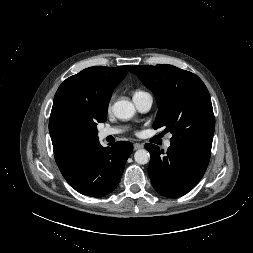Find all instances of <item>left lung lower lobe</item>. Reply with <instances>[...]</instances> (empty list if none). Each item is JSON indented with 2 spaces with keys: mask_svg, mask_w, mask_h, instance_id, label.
<instances>
[{
  "mask_svg": "<svg viewBox=\"0 0 253 253\" xmlns=\"http://www.w3.org/2000/svg\"><path fill=\"white\" fill-rule=\"evenodd\" d=\"M151 159L148 173L154 189L162 196L177 198L192 190L203 177L210 157L171 145L166 154L158 146L145 144Z\"/></svg>",
  "mask_w": 253,
  "mask_h": 253,
  "instance_id": "left-lung-lower-lobe-1",
  "label": "left lung lower lobe"
}]
</instances>
